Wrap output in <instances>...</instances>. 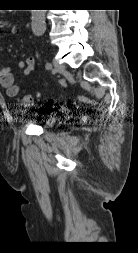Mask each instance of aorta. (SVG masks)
Here are the masks:
<instances>
[{
	"mask_svg": "<svg viewBox=\"0 0 138 253\" xmlns=\"http://www.w3.org/2000/svg\"><path fill=\"white\" fill-rule=\"evenodd\" d=\"M31 28L36 36H41L46 30L45 10H32Z\"/></svg>",
	"mask_w": 138,
	"mask_h": 253,
	"instance_id": "762f6f07",
	"label": "aorta"
}]
</instances>
